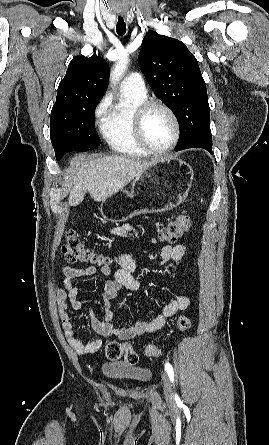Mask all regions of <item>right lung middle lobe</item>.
I'll return each instance as SVG.
<instances>
[{"label":"right lung middle lobe","instance_id":"1","mask_svg":"<svg viewBox=\"0 0 269 445\" xmlns=\"http://www.w3.org/2000/svg\"><path fill=\"white\" fill-rule=\"evenodd\" d=\"M99 101L81 99L55 102L50 117V137L57 160L67 152L88 151L101 144L93 121Z\"/></svg>","mask_w":269,"mask_h":445}]
</instances>
